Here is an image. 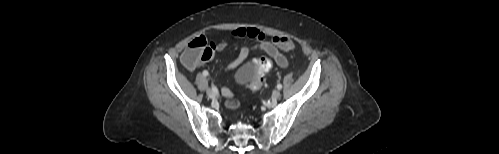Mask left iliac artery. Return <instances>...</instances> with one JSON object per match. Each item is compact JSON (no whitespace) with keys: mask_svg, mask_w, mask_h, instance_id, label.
<instances>
[{"mask_svg":"<svg viewBox=\"0 0 499 154\" xmlns=\"http://www.w3.org/2000/svg\"><path fill=\"white\" fill-rule=\"evenodd\" d=\"M277 88H278L279 90H280V89H282V85H281V84H278V85H277Z\"/></svg>","mask_w":499,"mask_h":154,"instance_id":"obj_1","label":"left iliac artery"}]
</instances>
